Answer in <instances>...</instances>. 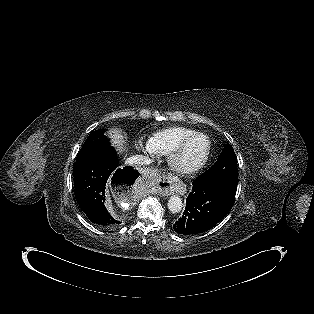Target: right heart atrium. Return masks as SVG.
<instances>
[{
	"label": "right heart atrium",
	"instance_id": "d8ad5b80",
	"mask_svg": "<svg viewBox=\"0 0 314 314\" xmlns=\"http://www.w3.org/2000/svg\"><path fill=\"white\" fill-rule=\"evenodd\" d=\"M137 147L140 148V149H145L148 152H150L148 146L147 145H143L142 143H137Z\"/></svg>",
	"mask_w": 314,
	"mask_h": 314
}]
</instances>
